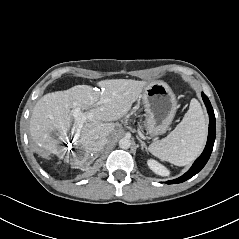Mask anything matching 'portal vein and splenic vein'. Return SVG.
I'll list each match as a JSON object with an SVG mask.
<instances>
[{"instance_id":"portal-vein-and-splenic-vein-1","label":"portal vein and splenic vein","mask_w":239,"mask_h":239,"mask_svg":"<svg viewBox=\"0 0 239 239\" xmlns=\"http://www.w3.org/2000/svg\"><path fill=\"white\" fill-rule=\"evenodd\" d=\"M72 116L74 117L75 121L80 122L81 124L79 125V127H82V123L86 120L85 115L83 114V112L81 111L80 108H74L72 110Z\"/></svg>"}]
</instances>
